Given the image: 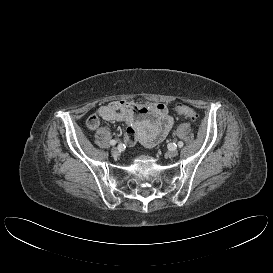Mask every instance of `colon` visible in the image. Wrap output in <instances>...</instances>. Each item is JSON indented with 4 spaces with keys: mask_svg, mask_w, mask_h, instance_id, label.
<instances>
[{
    "mask_svg": "<svg viewBox=\"0 0 273 273\" xmlns=\"http://www.w3.org/2000/svg\"><path fill=\"white\" fill-rule=\"evenodd\" d=\"M176 112L182 117L189 120H195L197 118L196 111L192 107H189L187 105H178L176 107Z\"/></svg>",
    "mask_w": 273,
    "mask_h": 273,
    "instance_id": "5ec220e1",
    "label": "colon"
}]
</instances>
